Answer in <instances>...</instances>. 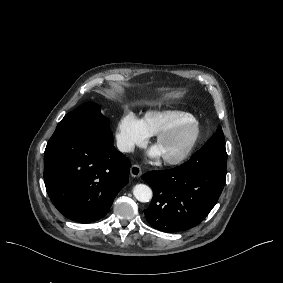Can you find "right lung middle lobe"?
Listing matches in <instances>:
<instances>
[{
	"mask_svg": "<svg viewBox=\"0 0 283 283\" xmlns=\"http://www.w3.org/2000/svg\"><path fill=\"white\" fill-rule=\"evenodd\" d=\"M60 128L85 129L99 133L111 131L108 118L100 113V106L94 102L84 103L66 114L56 129Z\"/></svg>",
	"mask_w": 283,
	"mask_h": 283,
	"instance_id": "dd1d6c3e",
	"label": "right lung middle lobe"
}]
</instances>
